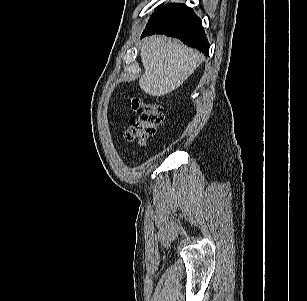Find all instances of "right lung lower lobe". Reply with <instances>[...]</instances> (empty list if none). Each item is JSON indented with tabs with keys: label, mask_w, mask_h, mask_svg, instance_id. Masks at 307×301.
<instances>
[{
	"label": "right lung lower lobe",
	"mask_w": 307,
	"mask_h": 301,
	"mask_svg": "<svg viewBox=\"0 0 307 301\" xmlns=\"http://www.w3.org/2000/svg\"><path fill=\"white\" fill-rule=\"evenodd\" d=\"M152 34H165L180 39L186 45L208 54L209 44L201 20L184 4L165 5L150 18L142 38Z\"/></svg>",
	"instance_id": "98d812e1"
}]
</instances>
